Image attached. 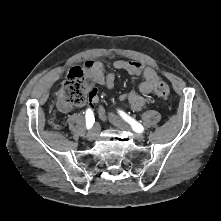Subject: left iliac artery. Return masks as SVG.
<instances>
[{"instance_id":"1","label":"left iliac artery","mask_w":221,"mask_h":221,"mask_svg":"<svg viewBox=\"0 0 221 221\" xmlns=\"http://www.w3.org/2000/svg\"><path fill=\"white\" fill-rule=\"evenodd\" d=\"M119 114L121 115V117L127 121L132 129L136 132V133H142L144 132V127L137 122L136 120H134L133 118H131L130 116H128L126 113H124L123 111H119Z\"/></svg>"}]
</instances>
